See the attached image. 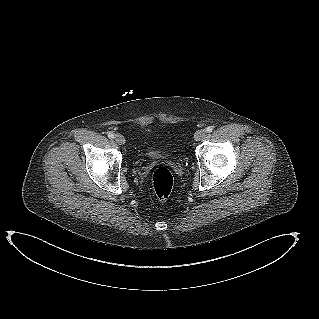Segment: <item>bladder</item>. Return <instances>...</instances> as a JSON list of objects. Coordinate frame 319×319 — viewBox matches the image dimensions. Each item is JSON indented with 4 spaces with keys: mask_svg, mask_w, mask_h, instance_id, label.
I'll return each mask as SVG.
<instances>
[{
    "mask_svg": "<svg viewBox=\"0 0 319 319\" xmlns=\"http://www.w3.org/2000/svg\"><path fill=\"white\" fill-rule=\"evenodd\" d=\"M146 156H148L150 158L157 157V156H159V153L155 152V151H152V150H148V151H146Z\"/></svg>",
    "mask_w": 319,
    "mask_h": 319,
    "instance_id": "obj_1",
    "label": "bladder"
}]
</instances>
